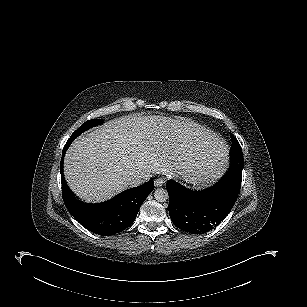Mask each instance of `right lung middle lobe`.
<instances>
[{
    "label": "right lung middle lobe",
    "mask_w": 307,
    "mask_h": 307,
    "mask_svg": "<svg viewBox=\"0 0 307 307\" xmlns=\"http://www.w3.org/2000/svg\"><path fill=\"white\" fill-rule=\"evenodd\" d=\"M103 120L102 119H93V120H89L85 123H83L72 135L71 137L68 139L67 143L71 144L73 142V140L79 136L81 133L85 132L86 130L97 126L99 124H102Z\"/></svg>",
    "instance_id": "1"
}]
</instances>
